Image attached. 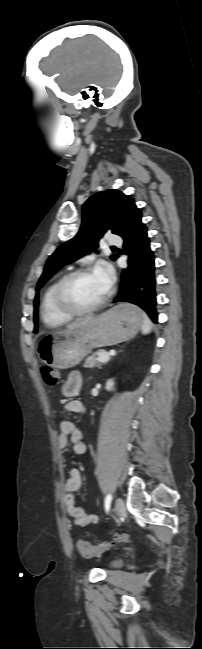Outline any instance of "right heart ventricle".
Returning a JSON list of instances; mask_svg holds the SVG:
<instances>
[{"label":"right heart ventricle","mask_w":202,"mask_h":649,"mask_svg":"<svg viewBox=\"0 0 202 649\" xmlns=\"http://www.w3.org/2000/svg\"><path fill=\"white\" fill-rule=\"evenodd\" d=\"M60 278L54 279L44 290L41 299V317L43 322L49 327H59L69 322L72 316L63 312L57 305L54 292Z\"/></svg>","instance_id":"1"}]
</instances>
